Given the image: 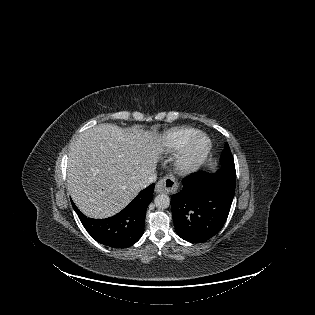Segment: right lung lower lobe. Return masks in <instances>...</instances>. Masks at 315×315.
Instances as JSON below:
<instances>
[{"instance_id":"right-lung-lower-lobe-1","label":"right lung lower lobe","mask_w":315,"mask_h":315,"mask_svg":"<svg viewBox=\"0 0 315 315\" xmlns=\"http://www.w3.org/2000/svg\"><path fill=\"white\" fill-rule=\"evenodd\" d=\"M155 184L142 190L121 212L106 218H87L72 202L83 226L97 242L113 247L126 248L136 243L144 233L145 213L153 199Z\"/></svg>"}]
</instances>
